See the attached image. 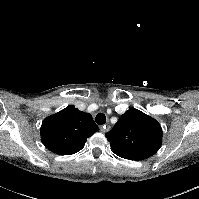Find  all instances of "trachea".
Returning a JSON list of instances; mask_svg holds the SVG:
<instances>
[{"label":"trachea","mask_w":199,"mask_h":199,"mask_svg":"<svg viewBox=\"0 0 199 199\" xmlns=\"http://www.w3.org/2000/svg\"><path fill=\"white\" fill-rule=\"evenodd\" d=\"M95 121L99 125H103L106 123V116L103 113H98L95 117Z\"/></svg>","instance_id":"1"}]
</instances>
